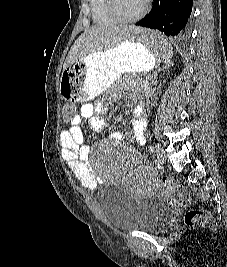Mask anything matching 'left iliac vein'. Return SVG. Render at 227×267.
Returning <instances> with one entry per match:
<instances>
[{"mask_svg": "<svg viewBox=\"0 0 227 267\" xmlns=\"http://www.w3.org/2000/svg\"><path fill=\"white\" fill-rule=\"evenodd\" d=\"M155 161L160 166H162L166 162V155H165L164 151L160 147L156 148Z\"/></svg>", "mask_w": 227, "mask_h": 267, "instance_id": "1", "label": "left iliac vein"}]
</instances>
